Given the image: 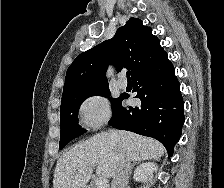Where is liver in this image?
I'll return each mask as SVG.
<instances>
[{"instance_id":"1","label":"liver","mask_w":224,"mask_h":188,"mask_svg":"<svg viewBox=\"0 0 224 188\" xmlns=\"http://www.w3.org/2000/svg\"><path fill=\"white\" fill-rule=\"evenodd\" d=\"M165 148L155 139L128 131H108L76 144L57 161L54 171V188H87L96 168V175L113 177L121 156L131 161L157 159ZM86 169L84 172L80 170Z\"/></svg>"}]
</instances>
